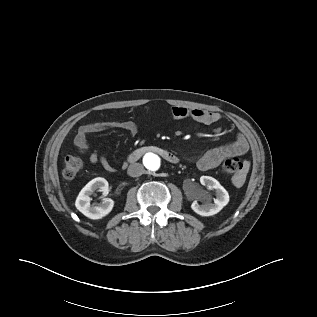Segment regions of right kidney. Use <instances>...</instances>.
Instances as JSON below:
<instances>
[{"label": "right kidney", "instance_id": "right-kidney-1", "mask_svg": "<svg viewBox=\"0 0 317 317\" xmlns=\"http://www.w3.org/2000/svg\"><path fill=\"white\" fill-rule=\"evenodd\" d=\"M99 190L106 196L109 192L108 181L102 177H97L91 180L86 186L80 191L76 201V208L90 219H101L111 212L114 206V201L110 198H104L103 201L97 204H90V195L95 191Z\"/></svg>", "mask_w": 317, "mask_h": 317}]
</instances>
